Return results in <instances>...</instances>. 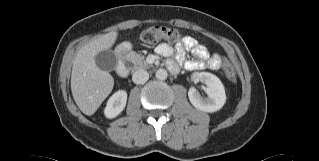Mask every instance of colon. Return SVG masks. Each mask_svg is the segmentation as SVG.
<instances>
[{
  "mask_svg": "<svg viewBox=\"0 0 319 161\" xmlns=\"http://www.w3.org/2000/svg\"><path fill=\"white\" fill-rule=\"evenodd\" d=\"M141 39L148 44H155L160 41H169L171 43H179L181 40V33L172 28L164 26H152L145 29L141 33ZM211 69L222 68L226 76L231 80H236V73L234 70L225 63L222 62H213L210 64Z\"/></svg>",
  "mask_w": 319,
  "mask_h": 161,
  "instance_id": "obj_1",
  "label": "colon"
}]
</instances>
